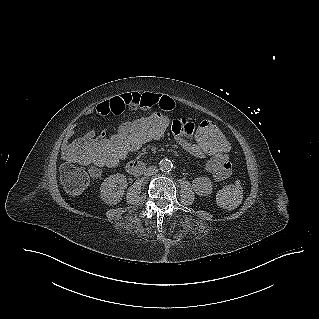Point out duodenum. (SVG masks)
Segmentation results:
<instances>
[{
	"label": "duodenum",
	"mask_w": 319,
	"mask_h": 319,
	"mask_svg": "<svg viewBox=\"0 0 319 319\" xmlns=\"http://www.w3.org/2000/svg\"><path fill=\"white\" fill-rule=\"evenodd\" d=\"M127 171L131 175H140L146 171V166L141 162L132 161L128 163Z\"/></svg>",
	"instance_id": "410a0bca"
}]
</instances>
